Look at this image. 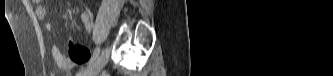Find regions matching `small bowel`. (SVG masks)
<instances>
[{
  "mask_svg": "<svg viewBox=\"0 0 333 76\" xmlns=\"http://www.w3.org/2000/svg\"><path fill=\"white\" fill-rule=\"evenodd\" d=\"M36 13L40 19H45L47 17V8L42 4L41 1H36ZM81 19L85 25V29L88 33L92 32V24L90 22V16L87 11H83L81 14ZM47 30H52L53 25L50 23L46 24ZM91 52L88 51L87 44H77L70 41L68 44V55L63 54L57 44H53L51 47V57L58 68L70 70L76 63H84Z\"/></svg>",
  "mask_w": 333,
  "mask_h": 76,
  "instance_id": "small-bowel-1",
  "label": "small bowel"
}]
</instances>
